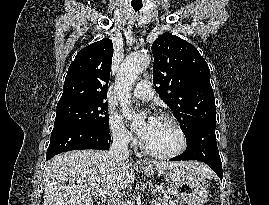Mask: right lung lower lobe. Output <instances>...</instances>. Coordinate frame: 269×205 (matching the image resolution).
<instances>
[{
  "label": "right lung lower lobe",
  "mask_w": 269,
  "mask_h": 205,
  "mask_svg": "<svg viewBox=\"0 0 269 205\" xmlns=\"http://www.w3.org/2000/svg\"><path fill=\"white\" fill-rule=\"evenodd\" d=\"M109 131L83 125H62L53 128L46 159L71 150L110 148Z\"/></svg>",
  "instance_id": "98d812e1"
}]
</instances>
